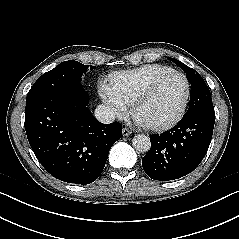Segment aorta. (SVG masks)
Wrapping results in <instances>:
<instances>
[{
  "mask_svg": "<svg viewBox=\"0 0 239 239\" xmlns=\"http://www.w3.org/2000/svg\"><path fill=\"white\" fill-rule=\"evenodd\" d=\"M132 145L141 153L147 152L151 147L150 138L143 134L135 135L132 139Z\"/></svg>",
  "mask_w": 239,
  "mask_h": 239,
  "instance_id": "1",
  "label": "aorta"
}]
</instances>
